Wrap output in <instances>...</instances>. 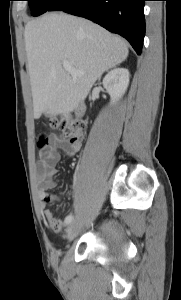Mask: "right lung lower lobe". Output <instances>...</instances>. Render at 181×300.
I'll list each match as a JSON object with an SVG mask.
<instances>
[{
	"label": "right lung lower lobe",
	"instance_id": "1",
	"mask_svg": "<svg viewBox=\"0 0 181 300\" xmlns=\"http://www.w3.org/2000/svg\"><path fill=\"white\" fill-rule=\"evenodd\" d=\"M146 0H60L53 11L81 16L126 38L141 54L145 36Z\"/></svg>",
	"mask_w": 181,
	"mask_h": 300
}]
</instances>
